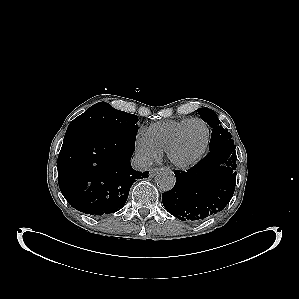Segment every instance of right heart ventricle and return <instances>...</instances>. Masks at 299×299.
Segmentation results:
<instances>
[{
  "mask_svg": "<svg viewBox=\"0 0 299 299\" xmlns=\"http://www.w3.org/2000/svg\"><path fill=\"white\" fill-rule=\"evenodd\" d=\"M189 119L156 122L142 134L145 140L159 153L165 151L177 130Z\"/></svg>",
  "mask_w": 299,
  "mask_h": 299,
  "instance_id": "obj_1",
  "label": "right heart ventricle"
}]
</instances>
